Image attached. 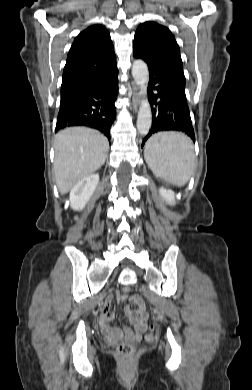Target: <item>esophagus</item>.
Listing matches in <instances>:
<instances>
[{
	"instance_id": "esophagus-1",
	"label": "esophagus",
	"mask_w": 252,
	"mask_h": 390,
	"mask_svg": "<svg viewBox=\"0 0 252 390\" xmlns=\"http://www.w3.org/2000/svg\"><path fill=\"white\" fill-rule=\"evenodd\" d=\"M132 103H133L134 110L137 111L140 104V98H139L138 89L135 84H133Z\"/></svg>"
}]
</instances>
